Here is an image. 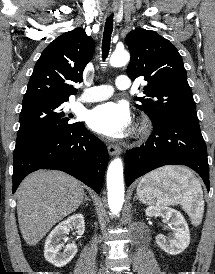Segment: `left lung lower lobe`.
<instances>
[{
    "instance_id": "0a47b994",
    "label": "left lung lower lobe",
    "mask_w": 215,
    "mask_h": 274,
    "mask_svg": "<svg viewBox=\"0 0 215 274\" xmlns=\"http://www.w3.org/2000/svg\"><path fill=\"white\" fill-rule=\"evenodd\" d=\"M152 124L153 132L147 143L126 152V185L158 167L185 165L202 177L209 190L207 148L199 124L178 119Z\"/></svg>"
}]
</instances>
